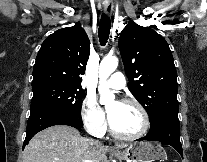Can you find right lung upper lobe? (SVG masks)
Listing matches in <instances>:
<instances>
[{"mask_svg": "<svg viewBox=\"0 0 207 162\" xmlns=\"http://www.w3.org/2000/svg\"><path fill=\"white\" fill-rule=\"evenodd\" d=\"M89 54L90 42L81 25L57 30L45 39L38 52L33 88L48 84L81 88Z\"/></svg>", "mask_w": 207, "mask_h": 162, "instance_id": "right-lung-upper-lobe-1", "label": "right lung upper lobe"}]
</instances>
